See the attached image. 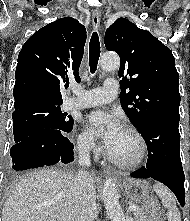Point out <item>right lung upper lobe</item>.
Wrapping results in <instances>:
<instances>
[{
	"label": "right lung upper lobe",
	"mask_w": 190,
	"mask_h": 221,
	"mask_svg": "<svg viewBox=\"0 0 190 221\" xmlns=\"http://www.w3.org/2000/svg\"><path fill=\"white\" fill-rule=\"evenodd\" d=\"M85 42V27L72 17L56 20L34 33L18 56L13 114L36 105L63 103L62 84L69 82L68 77L80 81Z\"/></svg>",
	"instance_id": "1"
}]
</instances>
